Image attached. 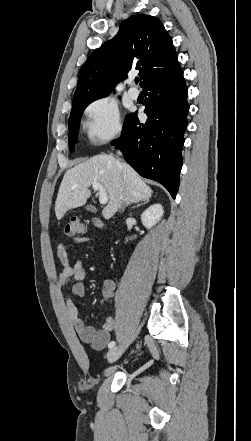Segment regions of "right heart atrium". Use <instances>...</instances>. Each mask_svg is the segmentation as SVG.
I'll use <instances>...</instances> for the list:
<instances>
[{
  "mask_svg": "<svg viewBox=\"0 0 251 441\" xmlns=\"http://www.w3.org/2000/svg\"><path fill=\"white\" fill-rule=\"evenodd\" d=\"M84 115V126L92 144L106 143L122 132L120 109L110 96L92 101L86 107Z\"/></svg>",
  "mask_w": 251,
  "mask_h": 441,
  "instance_id": "obj_1",
  "label": "right heart atrium"
}]
</instances>
